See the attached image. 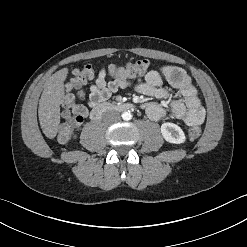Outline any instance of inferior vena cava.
<instances>
[{"label":"inferior vena cava","instance_id":"obj_1","mask_svg":"<svg viewBox=\"0 0 247 247\" xmlns=\"http://www.w3.org/2000/svg\"><path fill=\"white\" fill-rule=\"evenodd\" d=\"M104 119L110 122L118 121L120 119V114L116 111H110L104 114Z\"/></svg>","mask_w":247,"mask_h":247}]
</instances>
